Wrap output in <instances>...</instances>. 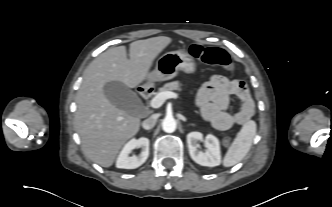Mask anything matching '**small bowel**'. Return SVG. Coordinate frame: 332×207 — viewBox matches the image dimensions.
Masks as SVG:
<instances>
[{"mask_svg":"<svg viewBox=\"0 0 332 207\" xmlns=\"http://www.w3.org/2000/svg\"><path fill=\"white\" fill-rule=\"evenodd\" d=\"M231 95L240 101L239 110L235 113L226 111ZM195 103L203 118L220 131L243 124L254 114V102L247 84L224 75L210 77L198 92Z\"/></svg>","mask_w":332,"mask_h":207,"instance_id":"1","label":"small bowel"}]
</instances>
